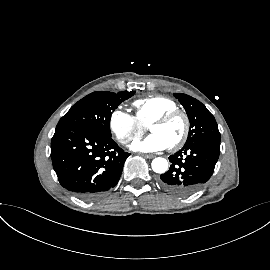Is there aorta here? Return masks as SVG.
Listing matches in <instances>:
<instances>
[{
  "label": "aorta",
  "instance_id": "762f6f07",
  "mask_svg": "<svg viewBox=\"0 0 270 270\" xmlns=\"http://www.w3.org/2000/svg\"><path fill=\"white\" fill-rule=\"evenodd\" d=\"M152 170L156 173H165L168 169V162L165 158L157 157L152 161Z\"/></svg>",
  "mask_w": 270,
  "mask_h": 270
}]
</instances>
